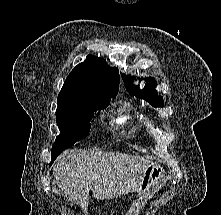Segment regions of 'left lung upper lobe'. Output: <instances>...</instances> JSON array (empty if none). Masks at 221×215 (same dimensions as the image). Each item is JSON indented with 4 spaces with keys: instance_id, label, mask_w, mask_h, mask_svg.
<instances>
[{
    "instance_id": "left-lung-upper-lobe-1",
    "label": "left lung upper lobe",
    "mask_w": 221,
    "mask_h": 215,
    "mask_svg": "<svg viewBox=\"0 0 221 215\" xmlns=\"http://www.w3.org/2000/svg\"><path fill=\"white\" fill-rule=\"evenodd\" d=\"M123 81L125 82V86L127 91L133 96L135 95L138 98H143L148 101L154 107H162L164 102L161 96L157 95V91L155 90V79L149 78L146 81V85L144 89L140 90L138 86L132 84L134 77L122 75Z\"/></svg>"
}]
</instances>
